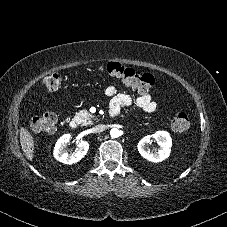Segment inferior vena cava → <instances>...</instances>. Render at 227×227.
Listing matches in <instances>:
<instances>
[{
	"label": "inferior vena cava",
	"instance_id": "obj_1",
	"mask_svg": "<svg viewBox=\"0 0 227 227\" xmlns=\"http://www.w3.org/2000/svg\"><path fill=\"white\" fill-rule=\"evenodd\" d=\"M106 126L103 125V124H100V125H96L92 128V131L94 133H100V132H103L105 130Z\"/></svg>",
	"mask_w": 227,
	"mask_h": 227
}]
</instances>
